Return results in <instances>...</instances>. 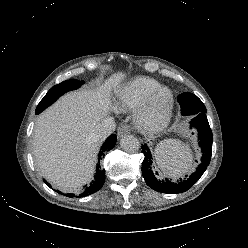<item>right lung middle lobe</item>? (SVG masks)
I'll return each mask as SVG.
<instances>
[{"label":"right lung middle lobe","instance_id":"dd1d6c3e","mask_svg":"<svg viewBox=\"0 0 248 248\" xmlns=\"http://www.w3.org/2000/svg\"><path fill=\"white\" fill-rule=\"evenodd\" d=\"M84 83L83 81H78L75 79L66 80L62 83L53 86L48 93L44 96V98L40 101L36 108V114L42 112L45 108L51 105L53 102L57 100L61 95L68 91H72L78 89L81 84Z\"/></svg>","mask_w":248,"mask_h":248}]
</instances>
